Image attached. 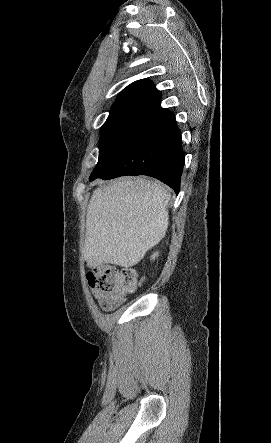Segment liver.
I'll use <instances>...</instances> for the list:
<instances>
[{"mask_svg": "<svg viewBox=\"0 0 271 443\" xmlns=\"http://www.w3.org/2000/svg\"><path fill=\"white\" fill-rule=\"evenodd\" d=\"M170 194L160 182L118 178L94 190L87 208L84 257L88 267H132L164 237Z\"/></svg>", "mask_w": 271, "mask_h": 443, "instance_id": "obj_1", "label": "liver"}]
</instances>
